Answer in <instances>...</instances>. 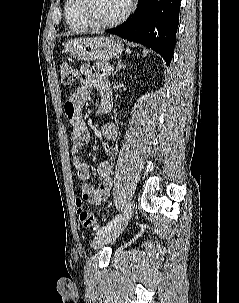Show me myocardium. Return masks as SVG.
I'll return each mask as SVG.
<instances>
[{
  "label": "myocardium",
  "instance_id": "myocardium-1",
  "mask_svg": "<svg viewBox=\"0 0 239 303\" xmlns=\"http://www.w3.org/2000/svg\"><path fill=\"white\" fill-rule=\"evenodd\" d=\"M94 0H81L79 6V12L83 21L88 24L90 27L97 28V29H105L117 26L124 22L128 16L130 15L133 9L132 0H128L126 10L116 19L107 21V22H100L94 19L92 15V7H93Z\"/></svg>",
  "mask_w": 239,
  "mask_h": 303
}]
</instances>
